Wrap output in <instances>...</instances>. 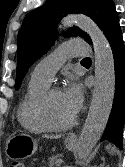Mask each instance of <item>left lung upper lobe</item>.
Instances as JSON below:
<instances>
[{
    "instance_id": "left-lung-upper-lobe-1",
    "label": "left lung upper lobe",
    "mask_w": 125,
    "mask_h": 167,
    "mask_svg": "<svg viewBox=\"0 0 125 167\" xmlns=\"http://www.w3.org/2000/svg\"><path fill=\"white\" fill-rule=\"evenodd\" d=\"M69 13L89 16L105 35L118 19L113 0H46L41 7L25 16L18 33L16 88L28 68L53 45L56 26ZM64 36H80L89 44L92 43L90 37L77 27L68 29Z\"/></svg>"
}]
</instances>
